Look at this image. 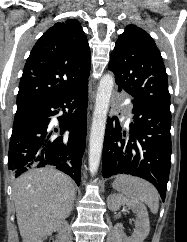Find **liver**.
Wrapping results in <instances>:
<instances>
[{
	"instance_id": "1",
	"label": "liver",
	"mask_w": 187,
	"mask_h": 242,
	"mask_svg": "<svg viewBox=\"0 0 187 242\" xmlns=\"http://www.w3.org/2000/svg\"><path fill=\"white\" fill-rule=\"evenodd\" d=\"M13 196L22 241L37 242L69 216L75 187L70 177L45 167L17 178Z\"/></svg>"
}]
</instances>
